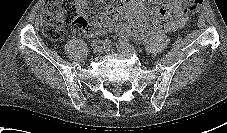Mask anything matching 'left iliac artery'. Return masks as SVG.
Returning a JSON list of instances; mask_svg holds the SVG:
<instances>
[{
	"label": "left iliac artery",
	"instance_id": "44dca946",
	"mask_svg": "<svg viewBox=\"0 0 227 133\" xmlns=\"http://www.w3.org/2000/svg\"><path fill=\"white\" fill-rule=\"evenodd\" d=\"M119 42L129 43L130 40H129L128 38H126V37H122V38L119 40Z\"/></svg>",
	"mask_w": 227,
	"mask_h": 133
}]
</instances>
